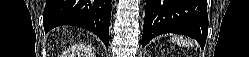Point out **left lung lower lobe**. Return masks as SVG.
Instances as JSON below:
<instances>
[{"label": "left lung lower lobe", "mask_w": 249, "mask_h": 57, "mask_svg": "<svg viewBox=\"0 0 249 57\" xmlns=\"http://www.w3.org/2000/svg\"><path fill=\"white\" fill-rule=\"evenodd\" d=\"M164 33L190 36L203 48L208 33L206 0H147L142 46Z\"/></svg>", "instance_id": "0a47b994"}]
</instances>
